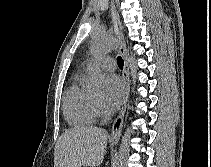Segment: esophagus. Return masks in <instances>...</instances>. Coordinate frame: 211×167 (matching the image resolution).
<instances>
[{
	"label": "esophagus",
	"mask_w": 211,
	"mask_h": 167,
	"mask_svg": "<svg viewBox=\"0 0 211 167\" xmlns=\"http://www.w3.org/2000/svg\"><path fill=\"white\" fill-rule=\"evenodd\" d=\"M111 16H112V22H113V26H114V33L119 41V53L122 55V57L124 59V69L122 71V76H123L124 83H125L123 102H122V107H121L120 113L113 123L111 135H110L111 141H118L121 136L123 119H124L127 100H128V96H129L130 80H129V65H128L126 46H125L122 32H121V23H120V19H119V14L116 10L114 2H111Z\"/></svg>",
	"instance_id": "obj_1"
}]
</instances>
